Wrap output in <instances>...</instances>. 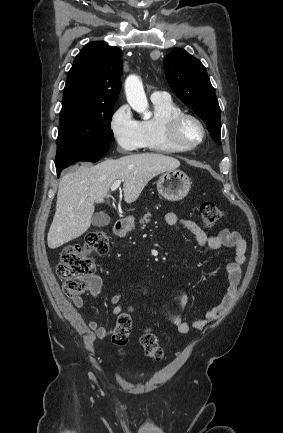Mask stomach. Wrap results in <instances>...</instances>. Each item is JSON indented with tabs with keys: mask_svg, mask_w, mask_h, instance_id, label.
Instances as JSON below:
<instances>
[{
	"mask_svg": "<svg viewBox=\"0 0 283 433\" xmlns=\"http://www.w3.org/2000/svg\"><path fill=\"white\" fill-rule=\"evenodd\" d=\"M191 182L188 174L183 170H166L159 176L157 188L167 200H181L190 190ZM128 225V229H134L133 217L124 219Z\"/></svg>",
	"mask_w": 283,
	"mask_h": 433,
	"instance_id": "0dacf381",
	"label": "stomach"
}]
</instances>
